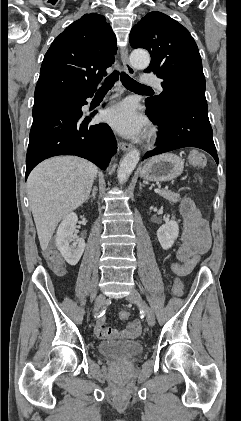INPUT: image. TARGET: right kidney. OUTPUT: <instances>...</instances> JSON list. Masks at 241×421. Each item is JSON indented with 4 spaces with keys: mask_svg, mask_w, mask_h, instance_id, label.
<instances>
[{
    "mask_svg": "<svg viewBox=\"0 0 241 421\" xmlns=\"http://www.w3.org/2000/svg\"><path fill=\"white\" fill-rule=\"evenodd\" d=\"M77 221V215L74 212L69 213L63 218L56 233V246L71 266L79 262L85 249L84 239L74 234Z\"/></svg>",
    "mask_w": 241,
    "mask_h": 421,
    "instance_id": "obj_1",
    "label": "right kidney"
}]
</instances>
